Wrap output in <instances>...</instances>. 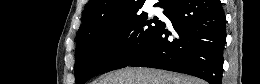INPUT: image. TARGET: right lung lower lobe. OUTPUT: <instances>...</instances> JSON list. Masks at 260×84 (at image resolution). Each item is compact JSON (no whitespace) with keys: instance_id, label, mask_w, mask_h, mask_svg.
I'll list each match as a JSON object with an SVG mask.
<instances>
[{"instance_id":"98d812e1","label":"right lung lower lobe","mask_w":260,"mask_h":84,"mask_svg":"<svg viewBox=\"0 0 260 84\" xmlns=\"http://www.w3.org/2000/svg\"><path fill=\"white\" fill-rule=\"evenodd\" d=\"M163 23L150 47L131 66L185 73L221 84L226 19L220 0H176L164 11Z\"/></svg>"}]
</instances>
